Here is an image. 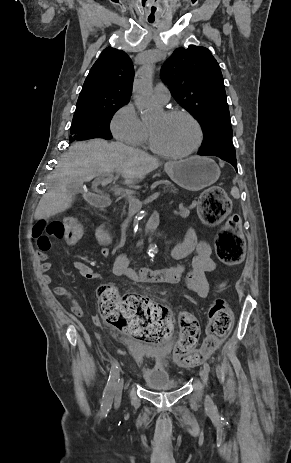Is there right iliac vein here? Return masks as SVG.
I'll return each instance as SVG.
<instances>
[{
  "label": "right iliac vein",
  "mask_w": 291,
  "mask_h": 463,
  "mask_svg": "<svg viewBox=\"0 0 291 463\" xmlns=\"http://www.w3.org/2000/svg\"><path fill=\"white\" fill-rule=\"evenodd\" d=\"M122 389H123V379H121V381L116 385L114 389V397H115L114 404L116 407H118L120 404Z\"/></svg>",
  "instance_id": "right-iliac-vein-1"
}]
</instances>
